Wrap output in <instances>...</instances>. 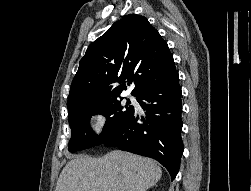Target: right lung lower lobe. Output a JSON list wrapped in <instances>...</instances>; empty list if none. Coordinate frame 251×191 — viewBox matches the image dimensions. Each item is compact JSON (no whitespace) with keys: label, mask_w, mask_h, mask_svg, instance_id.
Listing matches in <instances>:
<instances>
[{"label":"right lung lower lobe","mask_w":251,"mask_h":191,"mask_svg":"<svg viewBox=\"0 0 251 191\" xmlns=\"http://www.w3.org/2000/svg\"><path fill=\"white\" fill-rule=\"evenodd\" d=\"M137 101L145 116L132 112L128 120L101 144L118 147L159 161L173 180L180 167L183 153L182 102L178 72L165 82L143 90Z\"/></svg>","instance_id":"1"}]
</instances>
